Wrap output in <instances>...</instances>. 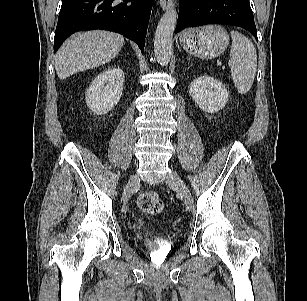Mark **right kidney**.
I'll use <instances>...</instances> for the list:
<instances>
[{
	"label": "right kidney",
	"mask_w": 307,
	"mask_h": 301,
	"mask_svg": "<svg viewBox=\"0 0 307 301\" xmlns=\"http://www.w3.org/2000/svg\"><path fill=\"white\" fill-rule=\"evenodd\" d=\"M125 75L114 67L101 72L86 92V104L95 114H106L116 106L122 96Z\"/></svg>",
	"instance_id": "obj_1"
}]
</instances>
